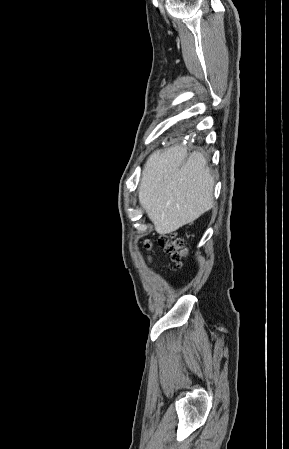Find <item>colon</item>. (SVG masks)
I'll use <instances>...</instances> for the list:
<instances>
[{
    "instance_id": "1",
    "label": "colon",
    "mask_w": 289,
    "mask_h": 449,
    "mask_svg": "<svg viewBox=\"0 0 289 449\" xmlns=\"http://www.w3.org/2000/svg\"><path fill=\"white\" fill-rule=\"evenodd\" d=\"M165 252L176 262L181 263V259L186 255V249L180 238L175 235L163 236L160 240ZM151 244L145 242V248L150 249Z\"/></svg>"
}]
</instances>
